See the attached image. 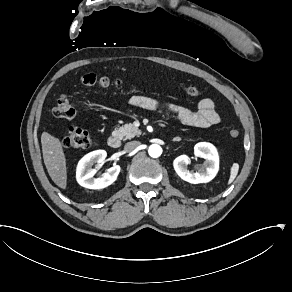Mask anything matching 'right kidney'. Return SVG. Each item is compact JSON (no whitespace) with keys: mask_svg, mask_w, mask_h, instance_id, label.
Instances as JSON below:
<instances>
[{"mask_svg":"<svg viewBox=\"0 0 292 292\" xmlns=\"http://www.w3.org/2000/svg\"><path fill=\"white\" fill-rule=\"evenodd\" d=\"M107 156L105 150H96L85 155L77 165L76 179L77 182L89 189H102L111 185L116 179L120 172V166L115 165L103 173L101 177L94 178L96 169H92L91 166L94 163H102Z\"/></svg>","mask_w":292,"mask_h":292,"instance_id":"1","label":"right kidney"}]
</instances>
